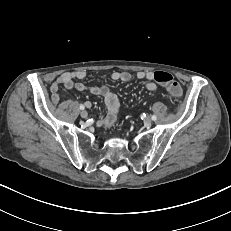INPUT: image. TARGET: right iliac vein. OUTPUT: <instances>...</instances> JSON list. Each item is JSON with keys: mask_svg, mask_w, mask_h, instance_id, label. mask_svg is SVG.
Here are the masks:
<instances>
[{"mask_svg": "<svg viewBox=\"0 0 231 231\" xmlns=\"http://www.w3.org/2000/svg\"><path fill=\"white\" fill-rule=\"evenodd\" d=\"M80 115H81L82 118H87L88 117V113H87L86 110H82Z\"/></svg>", "mask_w": 231, "mask_h": 231, "instance_id": "right-iliac-vein-1", "label": "right iliac vein"}]
</instances>
